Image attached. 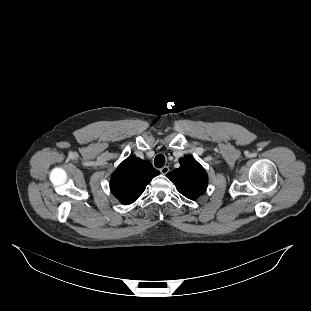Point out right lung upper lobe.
<instances>
[{"mask_svg": "<svg viewBox=\"0 0 311 311\" xmlns=\"http://www.w3.org/2000/svg\"><path fill=\"white\" fill-rule=\"evenodd\" d=\"M160 172L152 164L135 156L125 159L112 175L110 188L124 205L133 203Z\"/></svg>", "mask_w": 311, "mask_h": 311, "instance_id": "obj_1", "label": "right lung upper lobe"}]
</instances>
